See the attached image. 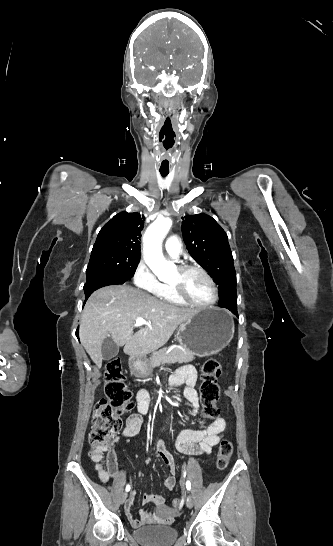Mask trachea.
<instances>
[{
	"label": "trachea",
	"mask_w": 333,
	"mask_h": 546,
	"mask_svg": "<svg viewBox=\"0 0 333 546\" xmlns=\"http://www.w3.org/2000/svg\"><path fill=\"white\" fill-rule=\"evenodd\" d=\"M168 175V172H161L162 177H166Z\"/></svg>",
	"instance_id": "obj_1"
}]
</instances>
